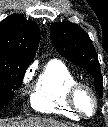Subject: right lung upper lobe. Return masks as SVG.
<instances>
[{"instance_id": "obj_1", "label": "right lung upper lobe", "mask_w": 108, "mask_h": 127, "mask_svg": "<svg viewBox=\"0 0 108 127\" xmlns=\"http://www.w3.org/2000/svg\"><path fill=\"white\" fill-rule=\"evenodd\" d=\"M39 38V28L35 22L13 14L0 23V56L30 64Z\"/></svg>"}]
</instances>
